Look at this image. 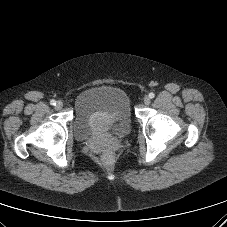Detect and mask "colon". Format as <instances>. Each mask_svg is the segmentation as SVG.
Listing matches in <instances>:
<instances>
[{"instance_id": "colon-1", "label": "colon", "mask_w": 227, "mask_h": 227, "mask_svg": "<svg viewBox=\"0 0 227 227\" xmlns=\"http://www.w3.org/2000/svg\"><path fill=\"white\" fill-rule=\"evenodd\" d=\"M114 161V153L112 151H105L103 154V162L107 165L112 164Z\"/></svg>"}]
</instances>
